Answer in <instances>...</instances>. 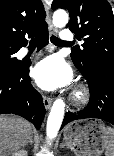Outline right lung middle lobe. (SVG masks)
<instances>
[{"label": "right lung middle lobe", "mask_w": 114, "mask_h": 156, "mask_svg": "<svg viewBox=\"0 0 114 156\" xmlns=\"http://www.w3.org/2000/svg\"><path fill=\"white\" fill-rule=\"evenodd\" d=\"M17 52L14 48L0 47V77L11 76L22 65L13 55Z\"/></svg>", "instance_id": "1"}]
</instances>
